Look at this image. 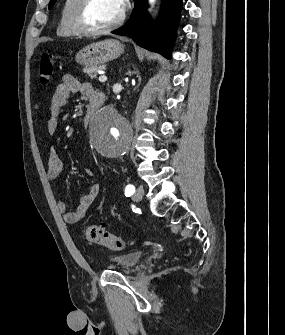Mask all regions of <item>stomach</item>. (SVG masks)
<instances>
[{
    "instance_id": "obj_1",
    "label": "stomach",
    "mask_w": 285,
    "mask_h": 335,
    "mask_svg": "<svg viewBox=\"0 0 285 335\" xmlns=\"http://www.w3.org/2000/svg\"><path fill=\"white\" fill-rule=\"evenodd\" d=\"M124 52V44L119 40H103L94 42L79 50L75 56V62L81 66H104L106 62L116 60Z\"/></svg>"
}]
</instances>
